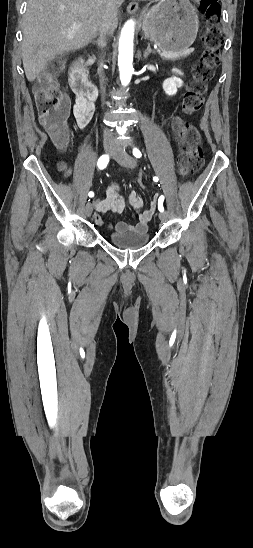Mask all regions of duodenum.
Instances as JSON below:
<instances>
[{
  "mask_svg": "<svg viewBox=\"0 0 253 548\" xmlns=\"http://www.w3.org/2000/svg\"><path fill=\"white\" fill-rule=\"evenodd\" d=\"M70 84L78 97L94 101L98 96V89L91 81L84 58H78L70 70Z\"/></svg>",
  "mask_w": 253,
  "mask_h": 548,
  "instance_id": "1",
  "label": "duodenum"
}]
</instances>
